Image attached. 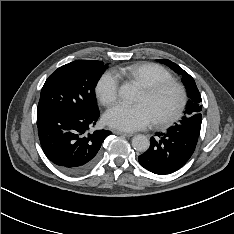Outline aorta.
<instances>
[{
  "label": "aorta",
  "mask_w": 234,
  "mask_h": 234,
  "mask_svg": "<svg viewBox=\"0 0 234 234\" xmlns=\"http://www.w3.org/2000/svg\"><path fill=\"white\" fill-rule=\"evenodd\" d=\"M137 89L132 84L126 83L119 89L120 96L127 101H134L137 96ZM150 146L149 139L142 134H138L132 138V147L139 152H145Z\"/></svg>",
  "instance_id": "aorta-1"
}]
</instances>
